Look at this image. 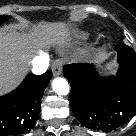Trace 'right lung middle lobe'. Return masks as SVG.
<instances>
[{
    "label": "right lung middle lobe",
    "mask_w": 136,
    "mask_h": 136,
    "mask_svg": "<svg viewBox=\"0 0 136 136\" xmlns=\"http://www.w3.org/2000/svg\"><path fill=\"white\" fill-rule=\"evenodd\" d=\"M10 18V16H8V15H2V16H0V24L3 22V21H5V20H7V19H9Z\"/></svg>",
    "instance_id": "dd1d6c3e"
}]
</instances>
